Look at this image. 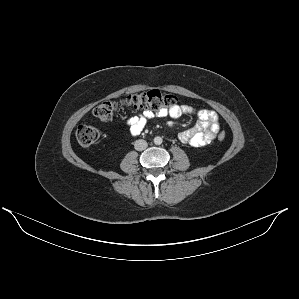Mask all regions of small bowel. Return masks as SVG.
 I'll return each mask as SVG.
<instances>
[{"mask_svg": "<svg viewBox=\"0 0 299 299\" xmlns=\"http://www.w3.org/2000/svg\"><path fill=\"white\" fill-rule=\"evenodd\" d=\"M182 115H195L198 122L191 128L181 132L179 140L193 147H201L209 144L219 132V117L216 112L208 109H197L190 105H175L169 110H145L122 120V124L131 134L137 135L142 132L146 124L158 117L170 116L179 118Z\"/></svg>", "mask_w": 299, "mask_h": 299, "instance_id": "1", "label": "small bowel"}]
</instances>
